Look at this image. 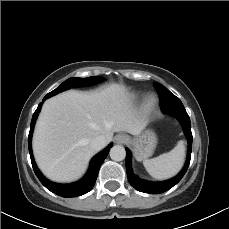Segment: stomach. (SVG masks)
<instances>
[{
	"label": "stomach",
	"mask_w": 229,
	"mask_h": 229,
	"mask_svg": "<svg viewBox=\"0 0 229 229\" xmlns=\"http://www.w3.org/2000/svg\"><path fill=\"white\" fill-rule=\"evenodd\" d=\"M137 161L150 157L157 145V137L154 132L146 130L143 133L129 139Z\"/></svg>",
	"instance_id": "0dacf381"
}]
</instances>
